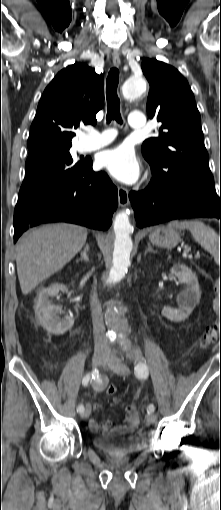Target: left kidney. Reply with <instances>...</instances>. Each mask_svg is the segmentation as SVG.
I'll return each mask as SVG.
<instances>
[{
  "label": "left kidney",
  "mask_w": 221,
  "mask_h": 510,
  "mask_svg": "<svg viewBox=\"0 0 221 510\" xmlns=\"http://www.w3.org/2000/svg\"><path fill=\"white\" fill-rule=\"evenodd\" d=\"M171 273L174 274L181 283L185 284V289L177 296L179 308L172 309L163 307L162 315L170 321L180 322L187 319L192 313L194 307L200 300L201 292L197 276L186 265L175 264L171 268Z\"/></svg>",
  "instance_id": "5707ae66"
}]
</instances>
